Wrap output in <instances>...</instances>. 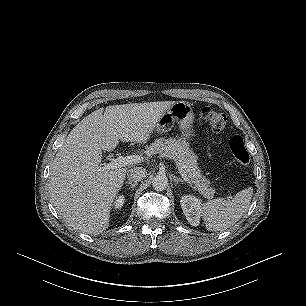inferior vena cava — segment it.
Masks as SVG:
<instances>
[{
	"instance_id": "602c4592",
	"label": "inferior vena cava",
	"mask_w": 306,
	"mask_h": 306,
	"mask_svg": "<svg viewBox=\"0 0 306 306\" xmlns=\"http://www.w3.org/2000/svg\"><path fill=\"white\" fill-rule=\"evenodd\" d=\"M147 171L142 167H133L128 170L127 178L131 182H138L141 181L146 177Z\"/></svg>"
}]
</instances>
